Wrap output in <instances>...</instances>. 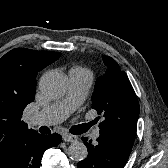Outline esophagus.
<instances>
[{
    "mask_svg": "<svg viewBox=\"0 0 168 168\" xmlns=\"http://www.w3.org/2000/svg\"><path fill=\"white\" fill-rule=\"evenodd\" d=\"M63 140H64L65 142H75V141L78 140V137L75 136V135H71V134H65V135L63 136Z\"/></svg>",
    "mask_w": 168,
    "mask_h": 168,
    "instance_id": "34e87169",
    "label": "esophagus"
}]
</instances>
